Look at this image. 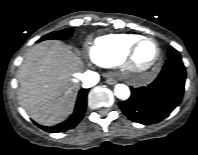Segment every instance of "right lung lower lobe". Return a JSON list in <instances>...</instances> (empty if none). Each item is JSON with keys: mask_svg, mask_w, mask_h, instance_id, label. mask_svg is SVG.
Here are the masks:
<instances>
[{"mask_svg": "<svg viewBox=\"0 0 198 155\" xmlns=\"http://www.w3.org/2000/svg\"><path fill=\"white\" fill-rule=\"evenodd\" d=\"M87 94H88L87 89H81L79 91L77 102L75 105V111L66 121L52 127L41 126V125L38 126L47 132H53V133L64 132L68 129L74 128L84 116L85 109L87 106Z\"/></svg>", "mask_w": 198, "mask_h": 155, "instance_id": "obj_1", "label": "right lung lower lobe"}]
</instances>
